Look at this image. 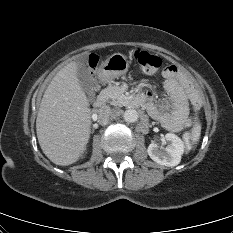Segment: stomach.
Instances as JSON below:
<instances>
[{
	"label": "stomach",
	"instance_id": "0dacf381",
	"mask_svg": "<svg viewBox=\"0 0 233 233\" xmlns=\"http://www.w3.org/2000/svg\"><path fill=\"white\" fill-rule=\"evenodd\" d=\"M128 68L127 57L121 53H115L102 64L99 77L102 81H108L125 74Z\"/></svg>",
	"mask_w": 233,
	"mask_h": 233
}]
</instances>
